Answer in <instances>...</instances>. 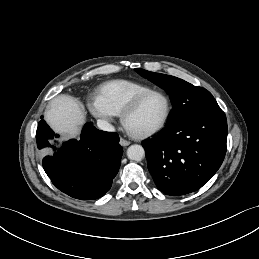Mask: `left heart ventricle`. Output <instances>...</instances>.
Here are the masks:
<instances>
[{"label": "left heart ventricle", "mask_w": 259, "mask_h": 259, "mask_svg": "<svg viewBox=\"0 0 259 259\" xmlns=\"http://www.w3.org/2000/svg\"><path fill=\"white\" fill-rule=\"evenodd\" d=\"M165 111L166 102L163 96L150 95L127 117L126 128L133 133L147 132L162 121Z\"/></svg>", "instance_id": "obj_1"}]
</instances>
